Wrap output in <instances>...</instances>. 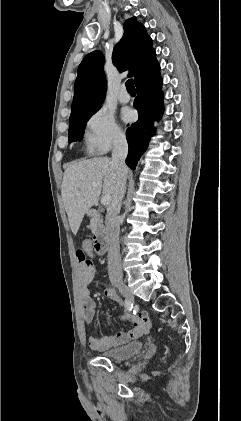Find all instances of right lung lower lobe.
<instances>
[{"label": "right lung lower lobe", "mask_w": 241, "mask_h": 421, "mask_svg": "<svg viewBox=\"0 0 241 421\" xmlns=\"http://www.w3.org/2000/svg\"><path fill=\"white\" fill-rule=\"evenodd\" d=\"M159 70V63L155 59L135 81L138 95L134 107L138 110L139 118L126 132L129 145L126 164L132 170L155 132L153 122L158 120L163 112L162 78Z\"/></svg>", "instance_id": "98d812e1"}]
</instances>
